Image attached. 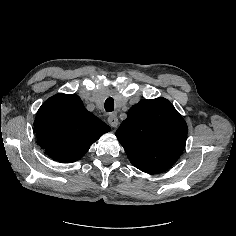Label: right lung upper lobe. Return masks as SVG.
<instances>
[{
	"mask_svg": "<svg viewBox=\"0 0 236 236\" xmlns=\"http://www.w3.org/2000/svg\"><path fill=\"white\" fill-rule=\"evenodd\" d=\"M37 142L55 161L79 160L89 147L110 131L74 94H57L39 108L34 122Z\"/></svg>",
	"mask_w": 236,
	"mask_h": 236,
	"instance_id": "obj_1",
	"label": "right lung upper lobe"
}]
</instances>
